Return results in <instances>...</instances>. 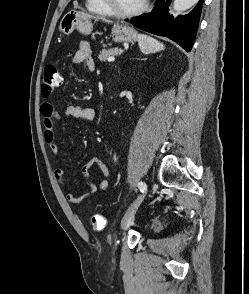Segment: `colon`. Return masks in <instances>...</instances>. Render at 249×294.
Masks as SVG:
<instances>
[{"label":"colon","mask_w":249,"mask_h":294,"mask_svg":"<svg viewBox=\"0 0 249 294\" xmlns=\"http://www.w3.org/2000/svg\"><path fill=\"white\" fill-rule=\"evenodd\" d=\"M62 82L59 67L56 64H49L44 71V78L41 86V93L43 97H48L55 91ZM89 225L93 230L100 231L105 228L106 220L101 215H93L90 218Z\"/></svg>","instance_id":"obj_1"}]
</instances>
